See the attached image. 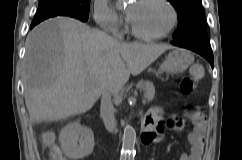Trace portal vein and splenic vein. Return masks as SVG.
<instances>
[{
  "instance_id": "18ae733b",
  "label": "portal vein and splenic vein",
  "mask_w": 242,
  "mask_h": 160,
  "mask_svg": "<svg viewBox=\"0 0 242 160\" xmlns=\"http://www.w3.org/2000/svg\"><path fill=\"white\" fill-rule=\"evenodd\" d=\"M87 82H88L89 84H92V82H91L89 79L87 80ZM142 103L145 104L146 101H145V100H142Z\"/></svg>"
}]
</instances>
